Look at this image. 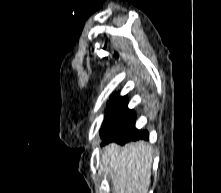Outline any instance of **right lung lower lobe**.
<instances>
[{
    "label": "right lung lower lobe",
    "instance_id": "1",
    "mask_svg": "<svg viewBox=\"0 0 221 193\" xmlns=\"http://www.w3.org/2000/svg\"><path fill=\"white\" fill-rule=\"evenodd\" d=\"M139 139H148V132L147 131H140L137 129H133L132 131H130L129 133H127L126 135L112 141V142H116L119 143L121 145L125 144L128 141H136Z\"/></svg>",
    "mask_w": 221,
    "mask_h": 193
}]
</instances>
